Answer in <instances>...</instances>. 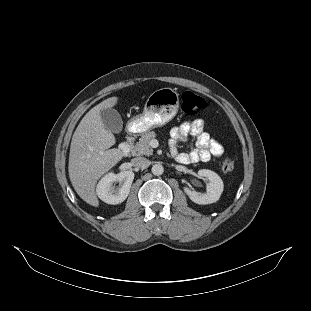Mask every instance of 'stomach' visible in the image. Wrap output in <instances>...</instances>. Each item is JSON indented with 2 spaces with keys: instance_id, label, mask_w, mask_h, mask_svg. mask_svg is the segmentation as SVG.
<instances>
[{
  "instance_id": "0dacf381",
  "label": "stomach",
  "mask_w": 311,
  "mask_h": 311,
  "mask_svg": "<svg viewBox=\"0 0 311 311\" xmlns=\"http://www.w3.org/2000/svg\"><path fill=\"white\" fill-rule=\"evenodd\" d=\"M179 109V95L172 88H161L148 98L142 114L127 122L126 132L132 136L144 135L172 120Z\"/></svg>"
}]
</instances>
